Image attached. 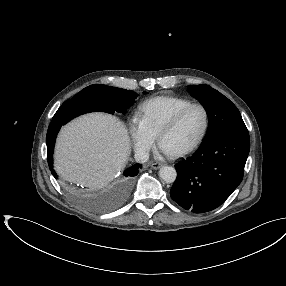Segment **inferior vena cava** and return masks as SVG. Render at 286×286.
Wrapping results in <instances>:
<instances>
[{
    "instance_id": "obj_1",
    "label": "inferior vena cava",
    "mask_w": 286,
    "mask_h": 286,
    "mask_svg": "<svg viewBox=\"0 0 286 286\" xmlns=\"http://www.w3.org/2000/svg\"><path fill=\"white\" fill-rule=\"evenodd\" d=\"M134 158L138 163H144L149 159V153L145 150H138L136 151Z\"/></svg>"
}]
</instances>
